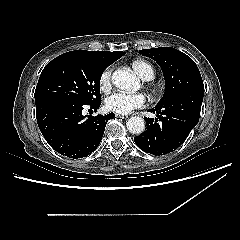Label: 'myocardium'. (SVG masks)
I'll return each instance as SVG.
<instances>
[{"mask_svg":"<svg viewBox=\"0 0 240 240\" xmlns=\"http://www.w3.org/2000/svg\"><path fill=\"white\" fill-rule=\"evenodd\" d=\"M149 89L152 93L156 94L158 91L157 86L154 83H149Z\"/></svg>","mask_w":240,"mask_h":240,"instance_id":"f54148a6","label":"myocardium"}]
</instances>
